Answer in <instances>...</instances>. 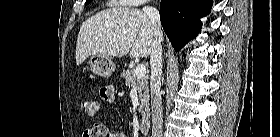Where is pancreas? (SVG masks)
<instances>
[{"label":"pancreas","mask_w":280,"mask_h":137,"mask_svg":"<svg viewBox=\"0 0 280 137\" xmlns=\"http://www.w3.org/2000/svg\"><path fill=\"white\" fill-rule=\"evenodd\" d=\"M121 77L125 79L127 87L136 86L138 91V96L140 98V104L138 105V113L141 116L140 121L146 119L147 114L149 113V89H148V78L143 77L137 79L135 77V70L130 68L121 73Z\"/></svg>","instance_id":"1"}]
</instances>
